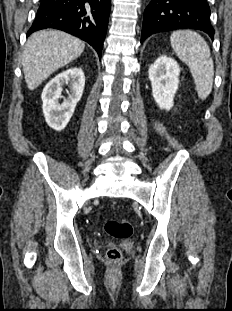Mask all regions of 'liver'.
Segmentation results:
<instances>
[{"label": "liver", "instance_id": "liver-1", "mask_svg": "<svg viewBox=\"0 0 232 311\" xmlns=\"http://www.w3.org/2000/svg\"><path fill=\"white\" fill-rule=\"evenodd\" d=\"M85 43L62 31L42 30L33 33L24 48L22 65L30 90L37 88L54 71L78 58Z\"/></svg>", "mask_w": 232, "mask_h": 311}]
</instances>
